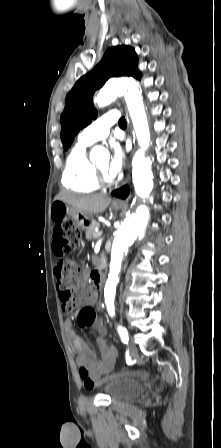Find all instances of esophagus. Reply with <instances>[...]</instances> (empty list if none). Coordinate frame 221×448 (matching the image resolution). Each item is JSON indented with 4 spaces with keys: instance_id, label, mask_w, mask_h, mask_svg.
<instances>
[{
    "instance_id": "34e87169",
    "label": "esophagus",
    "mask_w": 221,
    "mask_h": 448,
    "mask_svg": "<svg viewBox=\"0 0 221 448\" xmlns=\"http://www.w3.org/2000/svg\"><path fill=\"white\" fill-rule=\"evenodd\" d=\"M128 138L130 140H132V129H131L130 125L128 127ZM133 151H134V149L132 150V153H133ZM129 180H130V175H127V177H126L125 181L123 182V184H126L127 182H129ZM114 202L115 203H125L124 201H122L120 199H115Z\"/></svg>"
}]
</instances>
